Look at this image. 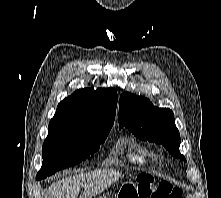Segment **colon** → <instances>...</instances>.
<instances>
[{
    "instance_id": "obj_1",
    "label": "colon",
    "mask_w": 221,
    "mask_h": 198,
    "mask_svg": "<svg viewBox=\"0 0 221 198\" xmlns=\"http://www.w3.org/2000/svg\"><path fill=\"white\" fill-rule=\"evenodd\" d=\"M117 198H182V191L167 181L156 182L148 174L122 185Z\"/></svg>"
}]
</instances>
